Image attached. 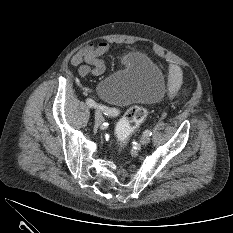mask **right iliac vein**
I'll list each match as a JSON object with an SVG mask.
<instances>
[{
	"label": "right iliac vein",
	"mask_w": 233,
	"mask_h": 233,
	"mask_svg": "<svg viewBox=\"0 0 233 233\" xmlns=\"http://www.w3.org/2000/svg\"><path fill=\"white\" fill-rule=\"evenodd\" d=\"M102 121H103V117H102L101 113L98 110H96L95 111V124L100 125L102 123Z\"/></svg>",
	"instance_id": "1"
}]
</instances>
